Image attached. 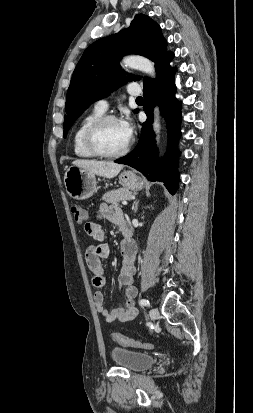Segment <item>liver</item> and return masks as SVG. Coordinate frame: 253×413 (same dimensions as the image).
I'll use <instances>...</instances> for the list:
<instances>
[{
  "instance_id": "6515ba94",
  "label": "liver",
  "mask_w": 253,
  "mask_h": 413,
  "mask_svg": "<svg viewBox=\"0 0 253 413\" xmlns=\"http://www.w3.org/2000/svg\"><path fill=\"white\" fill-rule=\"evenodd\" d=\"M73 165L80 167L91 174L106 178L117 176L123 168L122 164L97 160H75L73 161Z\"/></svg>"
}]
</instances>
